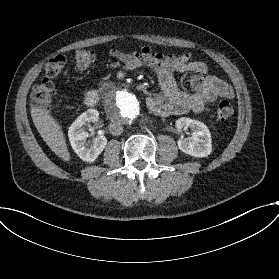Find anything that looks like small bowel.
<instances>
[{
    "mask_svg": "<svg viewBox=\"0 0 279 279\" xmlns=\"http://www.w3.org/2000/svg\"><path fill=\"white\" fill-rule=\"evenodd\" d=\"M110 54L120 60L126 70L149 69L158 81L160 91L148 97L146 105L156 115L169 116L188 111L201 112L217 97L230 98L231 86L208 74L207 64L196 60L190 53L181 55L156 53L148 46L132 52H124L112 46ZM177 72H191L192 92L182 90L175 79Z\"/></svg>",
    "mask_w": 279,
    "mask_h": 279,
    "instance_id": "obj_1",
    "label": "small bowel"
}]
</instances>
